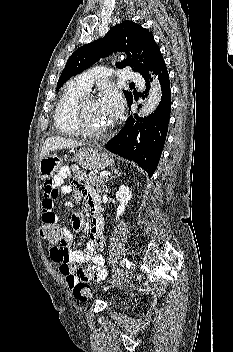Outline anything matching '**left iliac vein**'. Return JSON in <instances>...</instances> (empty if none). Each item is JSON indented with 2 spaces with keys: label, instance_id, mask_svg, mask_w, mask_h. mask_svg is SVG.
I'll return each mask as SVG.
<instances>
[{
  "label": "left iliac vein",
  "instance_id": "left-iliac-vein-1",
  "mask_svg": "<svg viewBox=\"0 0 233 352\" xmlns=\"http://www.w3.org/2000/svg\"><path fill=\"white\" fill-rule=\"evenodd\" d=\"M135 267H136V263H135L134 261H131V262L129 263L128 268H127L126 276L131 275V274L133 273Z\"/></svg>",
  "mask_w": 233,
  "mask_h": 352
}]
</instances>
